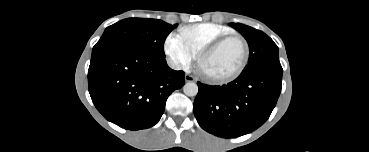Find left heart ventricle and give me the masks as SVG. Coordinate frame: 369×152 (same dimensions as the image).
Segmentation results:
<instances>
[{
  "label": "left heart ventricle",
  "instance_id": "left-heart-ventricle-1",
  "mask_svg": "<svg viewBox=\"0 0 369 152\" xmlns=\"http://www.w3.org/2000/svg\"><path fill=\"white\" fill-rule=\"evenodd\" d=\"M243 55L244 49L241 42L231 40L204 58L200 68L202 72L210 76H226L240 66Z\"/></svg>",
  "mask_w": 369,
  "mask_h": 152
}]
</instances>
